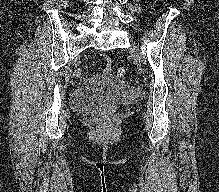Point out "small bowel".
<instances>
[{"mask_svg":"<svg viewBox=\"0 0 219 192\" xmlns=\"http://www.w3.org/2000/svg\"><path fill=\"white\" fill-rule=\"evenodd\" d=\"M109 71V68L108 67H106L104 70H103V72H108ZM81 75V73L80 72H78V76H80Z\"/></svg>","mask_w":219,"mask_h":192,"instance_id":"small-bowel-1","label":"small bowel"}]
</instances>
